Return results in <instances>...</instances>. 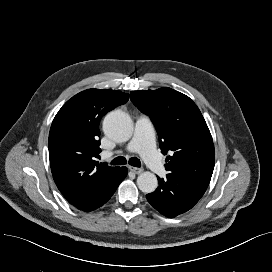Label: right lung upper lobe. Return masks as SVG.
<instances>
[{
    "mask_svg": "<svg viewBox=\"0 0 272 272\" xmlns=\"http://www.w3.org/2000/svg\"><path fill=\"white\" fill-rule=\"evenodd\" d=\"M129 94L88 89L68 100L56 114L49 133V159L54 181L69 203H85L106 188L121 167L99 163V124Z\"/></svg>",
    "mask_w": 272,
    "mask_h": 272,
    "instance_id": "1",
    "label": "right lung upper lobe"
}]
</instances>
